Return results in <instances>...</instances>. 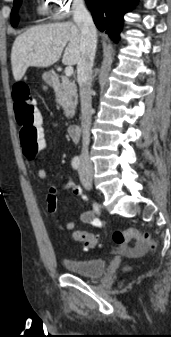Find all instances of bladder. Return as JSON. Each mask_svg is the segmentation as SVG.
I'll return each mask as SVG.
<instances>
[{"mask_svg":"<svg viewBox=\"0 0 171 337\" xmlns=\"http://www.w3.org/2000/svg\"><path fill=\"white\" fill-rule=\"evenodd\" d=\"M64 266L71 274L95 278L104 274L106 269V261L104 259H81V258H65Z\"/></svg>","mask_w":171,"mask_h":337,"instance_id":"obj_1","label":"bladder"}]
</instances>
